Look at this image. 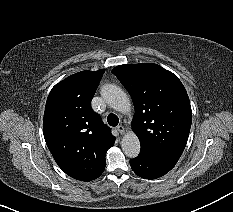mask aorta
<instances>
[{"instance_id":"obj_1","label":"aorta","mask_w":233,"mask_h":212,"mask_svg":"<svg viewBox=\"0 0 233 212\" xmlns=\"http://www.w3.org/2000/svg\"><path fill=\"white\" fill-rule=\"evenodd\" d=\"M101 96L113 109L126 113L131 109V103L127 94L114 84H106L101 88ZM121 147L125 155L135 158L140 153V141L134 132L126 133L121 141Z\"/></svg>"}]
</instances>
